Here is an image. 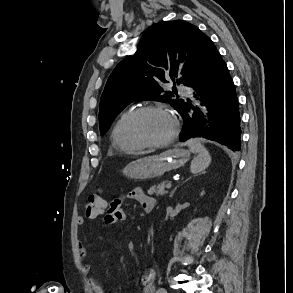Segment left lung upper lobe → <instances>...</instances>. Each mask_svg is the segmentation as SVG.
Returning a JSON list of instances; mask_svg holds the SVG:
<instances>
[{"label": "left lung upper lobe", "mask_w": 293, "mask_h": 293, "mask_svg": "<svg viewBox=\"0 0 293 293\" xmlns=\"http://www.w3.org/2000/svg\"><path fill=\"white\" fill-rule=\"evenodd\" d=\"M209 41L195 25L181 20L148 28L136 53L121 61L108 78L100 101V133L105 134L120 111L137 100L168 102L178 111L182 99L174 98L175 85L171 92L161 86L169 80L187 87L197 83Z\"/></svg>", "instance_id": "5c2ea615"}]
</instances>
